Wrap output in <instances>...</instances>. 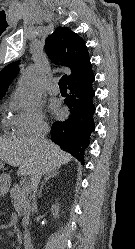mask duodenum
Wrapping results in <instances>:
<instances>
[{"instance_id":"410a0bca","label":"duodenum","mask_w":135,"mask_h":249,"mask_svg":"<svg viewBox=\"0 0 135 249\" xmlns=\"http://www.w3.org/2000/svg\"><path fill=\"white\" fill-rule=\"evenodd\" d=\"M27 243H28V244L31 243V240L29 239V240L27 241Z\"/></svg>"}]
</instances>
